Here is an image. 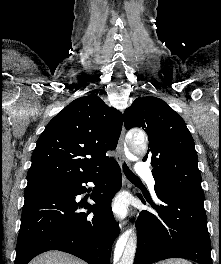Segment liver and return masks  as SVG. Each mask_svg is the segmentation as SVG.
I'll return each instance as SVG.
<instances>
[{"label":"liver","mask_w":221,"mask_h":264,"mask_svg":"<svg viewBox=\"0 0 221 264\" xmlns=\"http://www.w3.org/2000/svg\"><path fill=\"white\" fill-rule=\"evenodd\" d=\"M29 264H86L84 261L59 251H48L35 257Z\"/></svg>","instance_id":"liver-1"}]
</instances>
